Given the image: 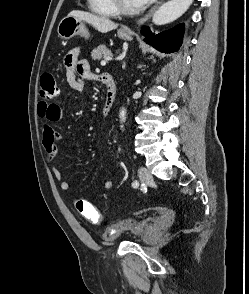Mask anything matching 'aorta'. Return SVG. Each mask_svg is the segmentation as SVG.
Here are the masks:
<instances>
[{
	"label": "aorta",
	"mask_w": 249,
	"mask_h": 294,
	"mask_svg": "<svg viewBox=\"0 0 249 294\" xmlns=\"http://www.w3.org/2000/svg\"><path fill=\"white\" fill-rule=\"evenodd\" d=\"M193 3V0H170L161 5L153 15L152 21L156 25H163L175 21L181 17ZM120 121L126 120V109L119 113Z\"/></svg>",
	"instance_id": "762f6f07"
}]
</instances>
